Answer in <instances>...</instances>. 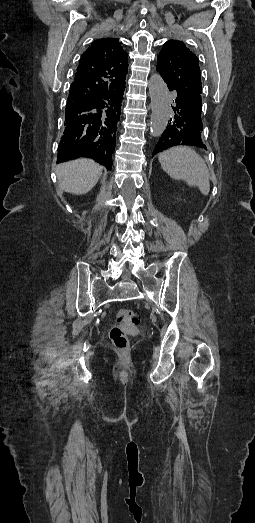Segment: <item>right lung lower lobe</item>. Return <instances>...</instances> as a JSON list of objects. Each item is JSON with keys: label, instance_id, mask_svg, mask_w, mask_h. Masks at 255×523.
Instances as JSON below:
<instances>
[{"label": "right lung lower lobe", "instance_id": "right-lung-lower-lobe-1", "mask_svg": "<svg viewBox=\"0 0 255 523\" xmlns=\"http://www.w3.org/2000/svg\"><path fill=\"white\" fill-rule=\"evenodd\" d=\"M100 102L92 99L90 102L82 101L79 103V113L84 115L83 119V144L84 151L91 153L93 144L100 142V123L96 120L99 118Z\"/></svg>", "mask_w": 255, "mask_h": 523}]
</instances>
